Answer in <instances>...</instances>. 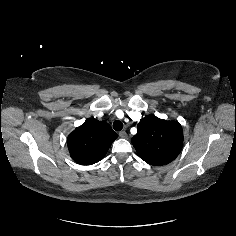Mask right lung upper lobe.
Returning <instances> with one entry per match:
<instances>
[{"mask_svg":"<svg viewBox=\"0 0 236 236\" xmlns=\"http://www.w3.org/2000/svg\"><path fill=\"white\" fill-rule=\"evenodd\" d=\"M117 134L104 121L87 119L67 139L71 158L82 165L100 161L108 151Z\"/></svg>","mask_w":236,"mask_h":236,"instance_id":"right-lung-upper-lobe-1","label":"right lung upper lobe"}]
</instances>
